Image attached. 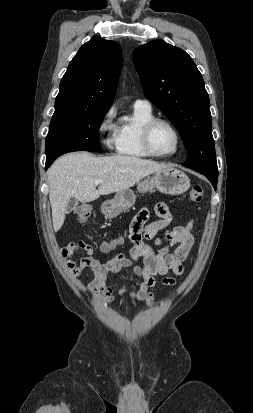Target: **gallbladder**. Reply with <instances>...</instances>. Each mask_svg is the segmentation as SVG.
<instances>
[{
	"label": "gallbladder",
	"instance_id": "gallbladder-1",
	"mask_svg": "<svg viewBox=\"0 0 253 413\" xmlns=\"http://www.w3.org/2000/svg\"><path fill=\"white\" fill-rule=\"evenodd\" d=\"M78 203H79V202H78L77 199L71 198V199L69 200V202H68L66 212H67V213H70V212L78 205Z\"/></svg>",
	"mask_w": 253,
	"mask_h": 413
}]
</instances>
